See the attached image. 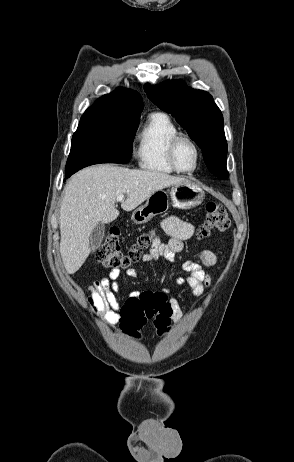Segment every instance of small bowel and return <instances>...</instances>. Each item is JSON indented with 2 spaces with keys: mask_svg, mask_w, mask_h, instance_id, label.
Listing matches in <instances>:
<instances>
[{
  "mask_svg": "<svg viewBox=\"0 0 294 462\" xmlns=\"http://www.w3.org/2000/svg\"><path fill=\"white\" fill-rule=\"evenodd\" d=\"M163 231L170 236V240L164 243L159 237L155 238L150 251L144 254V262H156L161 257L169 261H176L177 255L183 252L184 242L190 239L194 232V227L176 217H167L161 223ZM216 263V255L210 250H203L196 254L195 260H186L182 263V269L186 275L176 279V286L187 285L192 294L200 297L205 287L210 283V276L202 266L211 267ZM120 275L119 269H112L108 276L95 280L89 284L88 303L95 313L110 325H115L120 321V305L117 295L121 292L117 279ZM130 278H136L138 272L130 268L126 271ZM165 292H168L166 289ZM136 294V293H134ZM169 303L172 308L171 321L178 323L182 318V310L177 300L171 296Z\"/></svg>",
  "mask_w": 294,
  "mask_h": 462,
  "instance_id": "obj_1",
  "label": "small bowel"
}]
</instances>
